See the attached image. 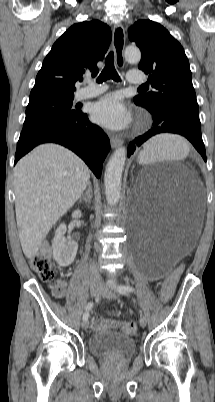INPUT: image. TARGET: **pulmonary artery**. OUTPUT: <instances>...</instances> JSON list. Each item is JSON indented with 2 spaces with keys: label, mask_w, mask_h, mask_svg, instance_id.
I'll return each instance as SVG.
<instances>
[{
  "label": "pulmonary artery",
  "mask_w": 215,
  "mask_h": 402,
  "mask_svg": "<svg viewBox=\"0 0 215 402\" xmlns=\"http://www.w3.org/2000/svg\"><path fill=\"white\" fill-rule=\"evenodd\" d=\"M127 80L131 84H142L146 81L145 75L140 71H131L127 75ZM88 86L76 92L77 100H84L102 94L107 87L102 84H95L91 80H87Z\"/></svg>",
  "instance_id": "e3ab8cb5"
}]
</instances>
